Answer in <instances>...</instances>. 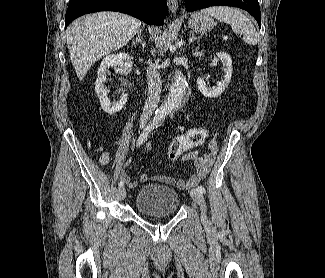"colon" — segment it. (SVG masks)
Masks as SVG:
<instances>
[{"label": "colon", "mask_w": 325, "mask_h": 278, "mask_svg": "<svg viewBox=\"0 0 325 278\" xmlns=\"http://www.w3.org/2000/svg\"><path fill=\"white\" fill-rule=\"evenodd\" d=\"M207 131L204 128H192L189 135H178L170 143L168 147V158L172 161L194 147H197L205 142Z\"/></svg>", "instance_id": "1"}]
</instances>
